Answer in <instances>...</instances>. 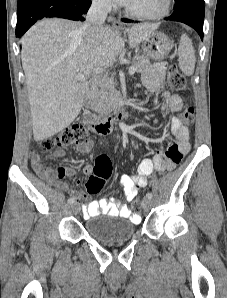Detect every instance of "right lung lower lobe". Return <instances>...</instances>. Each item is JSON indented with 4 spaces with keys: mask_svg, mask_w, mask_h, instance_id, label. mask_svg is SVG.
<instances>
[{
    "mask_svg": "<svg viewBox=\"0 0 227 298\" xmlns=\"http://www.w3.org/2000/svg\"><path fill=\"white\" fill-rule=\"evenodd\" d=\"M91 0H29L17 8L16 37L20 38L37 20L60 17L84 21Z\"/></svg>",
    "mask_w": 227,
    "mask_h": 298,
    "instance_id": "obj_1",
    "label": "right lung lower lobe"
}]
</instances>
